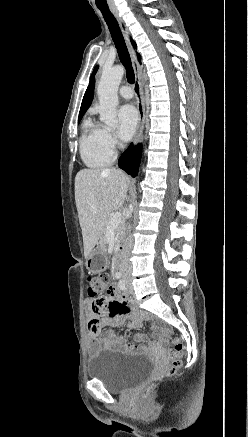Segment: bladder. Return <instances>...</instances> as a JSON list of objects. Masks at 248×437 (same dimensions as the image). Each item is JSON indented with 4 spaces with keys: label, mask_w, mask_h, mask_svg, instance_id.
<instances>
[{
    "label": "bladder",
    "mask_w": 248,
    "mask_h": 437,
    "mask_svg": "<svg viewBox=\"0 0 248 437\" xmlns=\"http://www.w3.org/2000/svg\"><path fill=\"white\" fill-rule=\"evenodd\" d=\"M155 371L156 364L144 355L110 350L100 351L87 366L88 377L101 381L112 392H123L149 379Z\"/></svg>",
    "instance_id": "bladder-1"
}]
</instances>
